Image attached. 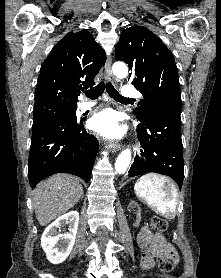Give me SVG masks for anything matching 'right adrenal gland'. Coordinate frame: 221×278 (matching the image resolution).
<instances>
[{"label":"right adrenal gland","instance_id":"right-adrenal-gland-1","mask_svg":"<svg viewBox=\"0 0 221 278\" xmlns=\"http://www.w3.org/2000/svg\"><path fill=\"white\" fill-rule=\"evenodd\" d=\"M81 199H83V194H82V196H81Z\"/></svg>","mask_w":221,"mask_h":278}]
</instances>
